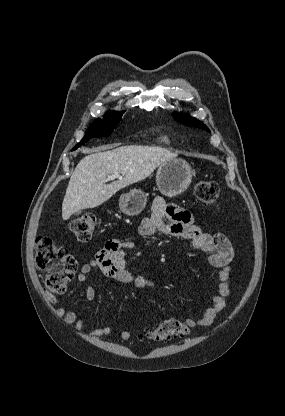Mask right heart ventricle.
I'll use <instances>...</instances> for the list:
<instances>
[{
    "label": "right heart ventricle",
    "instance_id": "right-heart-ventricle-1",
    "mask_svg": "<svg viewBox=\"0 0 285 416\" xmlns=\"http://www.w3.org/2000/svg\"><path fill=\"white\" fill-rule=\"evenodd\" d=\"M162 141L167 142V141H168V138L164 136V137L162 138Z\"/></svg>",
    "mask_w": 285,
    "mask_h": 416
}]
</instances>
